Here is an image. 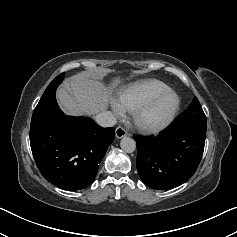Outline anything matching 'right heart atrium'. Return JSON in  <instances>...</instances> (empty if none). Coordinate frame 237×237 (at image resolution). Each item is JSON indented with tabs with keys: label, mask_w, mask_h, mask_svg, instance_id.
<instances>
[{
	"label": "right heart atrium",
	"mask_w": 237,
	"mask_h": 237,
	"mask_svg": "<svg viewBox=\"0 0 237 237\" xmlns=\"http://www.w3.org/2000/svg\"><path fill=\"white\" fill-rule=\"evenodd\" d=\"M112 109L117 117H123L125 115V110L119 104V102L117 100L112 102Z\"/></svg>",
	"instance_id": "right-heart-atrium-1"
}]
</instances>
